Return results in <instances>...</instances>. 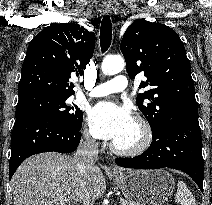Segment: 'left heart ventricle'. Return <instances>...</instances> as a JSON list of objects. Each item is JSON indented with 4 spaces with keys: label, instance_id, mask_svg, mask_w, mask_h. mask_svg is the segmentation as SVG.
<instances>
[{
    "label": "left heart ventricle",
    "instance_id": "b2bd125f",
    "mask_svg": "<svg viewBox=\"0 0 212 205\" xmlns=\"http://www.w3.org/2000/svg\"><path fill=\"white\" fill-rule=\"evenodd\" d=\"M140 139V129L134 122L129 130L119 139L114 141L120 147H130L135 145Z\"/></svg>",
    "mask_w": 212,
    "mask_h": 205
}]
</instances>
